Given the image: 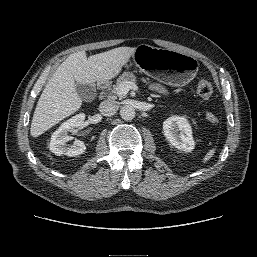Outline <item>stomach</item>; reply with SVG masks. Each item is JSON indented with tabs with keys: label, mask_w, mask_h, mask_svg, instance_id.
<instances>
[{
	"label": "stomach",
	"mask_w": 257,
	"mask_h": 257,
	"mask_svg": "<svg viewBox=\"0 0 257 257\" xmlns=\"http://www.w3.org/2000/svg\"><path fill=\"white\" fill-rule=\"evenodd\" d=\"M134 64L140 72L173 86H184L193 80L198 72V60L188 54L147 44L136 47L132 61L124 65L130 68Z\"/></svg>",
	"instance_id": "1"
}]
</instances>
